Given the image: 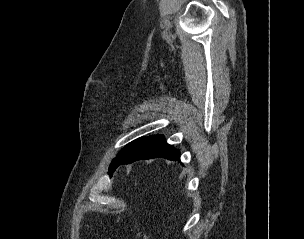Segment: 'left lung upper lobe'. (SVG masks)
<instances>
[{"instance_id":"1","label":"left lung upper lobe","mask_w":304,"mask_h":239,"mask_svg":"<svg viewBox=\"0 0 304 239\" xmlns=\"http://www.w3.org/2000/svg\"><path fill=\"white\" fill-rule=\"evenodd\" d=\"M144 138H139L131 143H129L127 146H125L116 156V158L113 159L110 167H109V174L112 175V172L115 171L117 168L118 162L123 158L135 145H137L140 141H142Z\"/></svg>"}]
</instances>
